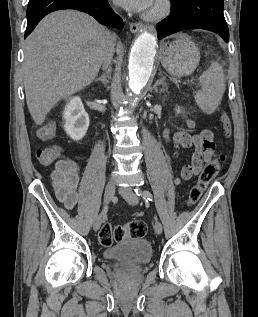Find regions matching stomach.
Segmentation results:
<instances>
[{
	"instance_id": "1",
	"label": "stomach",
	"mask_w": 258,
	"mask_h": 317,
	"mask_svg": "<svg viewBox=\"0 0 258 317\" xmlns=\"http://www.w3.org/2000/svg\"><path fill=\"white\" fill-rule=\"evenodd\" d=\"M160 60L169 74L188 76L199 64L200 50L190 36L181 32L172 42L161 44Z\"/></svg>"
}]
</instances>
